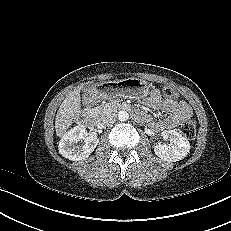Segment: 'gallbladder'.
I'll list each match as a JSON object with an SVG mask.
<instances>
[{
    "mask_svg": "<svg viewBox=\"0 0 231 231\" xmlns=\"http://www.w3.org/2000/svg\"><path fill=\"white\" fill-rule=\"evenodd\" d=\"M82 91L84 94H92L95 91V85L93 83H85Z\"/></svg>",
    "mask_w": 231,
    "mask_h": 231,
    "instance_id": "bac80fb5",
    "label": "gallbladder"
}]
</instances>
